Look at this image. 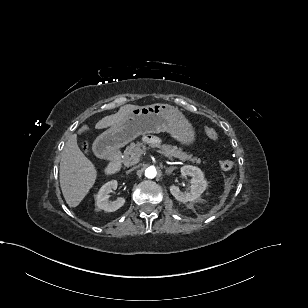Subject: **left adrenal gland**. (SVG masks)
Returning <instances> with one entry per match:
<instances>
[{
  "label": "left adrenal gland",
  "instance_id": "left-adrenal-gland-1",
  "mask_svg": "<svg viewBox=\"0 0 308 308\" xmlns=\"http://www.w3.org/2000/svg\"><path fill=\"white\" fill-rule=\"evenodd\" d=\"M174 169H175V167L166 168V169H165V174H166V175L171 174V173L173 172Z\"/></svg>",
  "mask_w": 308,
  "mask_h": 308
}]
</instances>
